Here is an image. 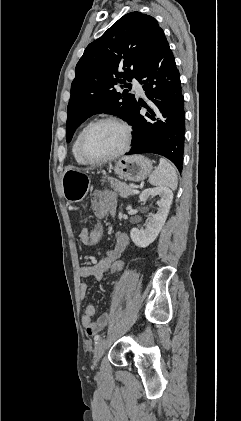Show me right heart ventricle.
Wrapping results in <instances>:
<instances>
[{"mask_svg":"<svg viewBox=\"0 0 241 421\" xmlns=\"http://www.w3.org/2000/svg\"><path fill=\"white\" fill-rule=\"evenodd\" d=\"M85 127H86V126H84L83 128H81V129L78 131V133H77V135H76V137H75V139H74V141H73V144H72V154H73L74 159L76 160V162H77L78 164H80V165H86V164H88L87 162H85V161L82 159V157H81V156H80V154H79V150H78L79 138H80V135H81V133H82V131H83V129H84Z\"/></svg>","mask_w":241,"mask_h":421,"instance_id":"obj_1","label":"right heart ventricle"}]
</instances>
